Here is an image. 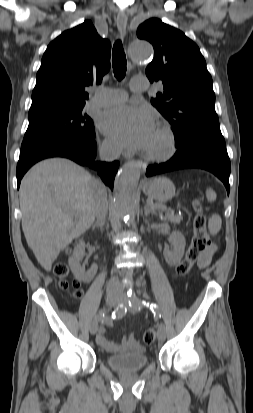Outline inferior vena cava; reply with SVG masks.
<instances>
[{
  "label": "inferior vena cava",
  "mask_w": 253,
  "mask_h": 413,
  "mask_svg": "<svg viewBox=\"0 0 253 413\" xmlns=\"http://www.w3.org/2000/svg\"><path fill=\"white\" fill-rule=\"evenodd\" d=\"M100 158L103 161H113L118 158L120 154V149L116 148L110 144L104 145L99 150ZM96 210L95 216L98 222L105 221L106 214L108 212V202H107V193L104 185L99 182L97 191H96ZM120 284L118 278L113 277L107 284V291H119Z\"/></svg>",
  "instance_id": "602c4592"
}]
</instances>
